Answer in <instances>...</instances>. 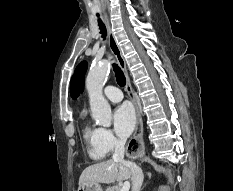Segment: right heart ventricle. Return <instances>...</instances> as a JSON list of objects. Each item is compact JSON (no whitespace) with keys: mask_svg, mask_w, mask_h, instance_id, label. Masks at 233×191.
Segmentation results:
<instances>
[{"mask_svg":"<svg viewBox=\"0 0 233 191\" xmlns=\"http://www.w3.org/2000/svg\"><path fill=\"white\" fill-rule=\"evenodd\" d=\"M83 138L87 145V151L91 159L99 161L105 158L106 153L99 144V128L85 124Z\"/></svg>","mask_w":233,"mask_h":191,"instance_id":"right-heart-ventricle-1","label":"right heart ventricle"}]
</instances>
